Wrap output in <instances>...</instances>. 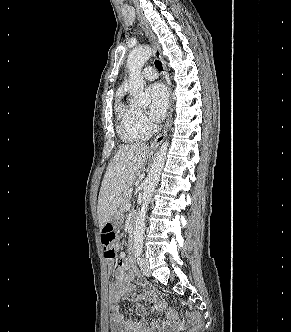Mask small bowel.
Wrapping results in <instances>:
<instances>
[{
  "label": "small bowel",
  "mask_w": 291,
  "mask_h": 332,
  "mask_svg": "<svg viewBox=\"0 0 291 332\" xmlns=\"http://www.w3.org/2000/svg\"><path fill=\"white\" fill-rule=\"evenodd\" d=\"M113 261H108V269L113 268ZM136 269L133 261L124 253H121L118 267L114 272V281L109 287L110 299V328L111 332H163L167 327L172 326L177 321L176 313L167 308L165 302L161 301L156 292L144 285L143 294L138 298L136 313L141 317L139 321H132L125 318L120 312L119 302L122 299H133L135 297V287L133 279ZM151 303L156 311H165L166 320H155L151 326L143 319L145 304Z\"/></svg>",
  "instance_id": "1"
}]
</instances>
